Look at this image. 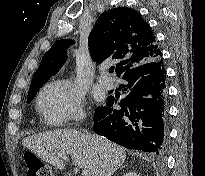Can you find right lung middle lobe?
Wrapping results in <instances>:
<instances>
[{"mask_svg":"<svg viewBox=\"0 0 205 176\" xmlns=\"http://www.w3.org/2000/svg\"><path fill=\"white\" fill-rule=\"evenodd\" d=\"M38 90H39V88H36V89L28 92V96H27L28 103H30V101L34 98V96L36 95Z\"/></svg>","mask_w":205,"mask_h":176,"instance_id":"obj_1","label":"right lung middle lobe"}]
</instances>
